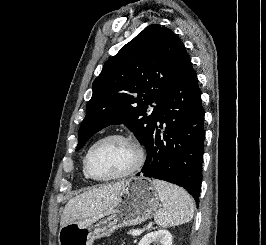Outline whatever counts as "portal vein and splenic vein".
Masks as SVG:
<instances>
[{
    "instance_id": "18ae733b",
    "label": "portal vein and splenic vein",
    "mask_w": 266,
    "mask_h": 245,
    "mask_svg": "<svg viewBox=\"0 0 266 245\" xmlns=\"http://www.w3.org/2000/svg\"><path fill=\"white\" fill-rule=\"evenodd\" d=\"M142 231H133V233H131V235H133V237H138V235H141Z\"/></svg>"
}]
</instances>
